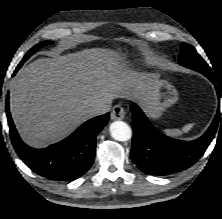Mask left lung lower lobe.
I'll use <instances>...</instances> for the list:
<instances>
[{
	"mask_svg": "<svg viewBox=\"0 0 222 219\" xmlns=\"http://www.w3.org/2000/svg\"><path fill=\"white\" fill-rule=\"evenodd\" d=\"M193 70H198L211 80L216 87L218 100H220L222 89L217 86L211 68ZM130 109L133 115L132 129L134 132L132 161L141 171L149 175H169L192 166L206 151L218 126H222V117H220L218 109L209 129L200 138L194 141H181L159 132L135 103L131 105Z\"/></svg>",
	"mask_w": 222,
	"mask_h": 219,
	"instance_id": "1",
	"label": "left lung lower lobe"
}]
</instances>
